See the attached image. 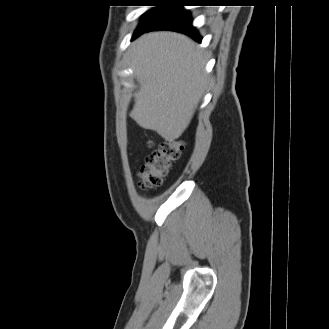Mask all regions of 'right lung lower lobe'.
I'll list each match as a JSON object with an SVG mask.
<instances>
[{"label":"right lung lower lobe","instance_id":"right-lung-lower-lobe-1","mask_svg":"<svg viewBox=\"0 0 329 329\" xmlns=\"http://www.w3.org/2000/svg\"><path fill=\"white\" fill-rule=\"evenodd\" d=\"M154 30H172L184 33L194 40L201 42V37L196 29L192 27V21L187 10L182 9L181 5L169 6L152 24L137 28L133 38L138 37L144 32Z\"/></svg>","mask_w":329,"mask_h":329}]
</instances>
